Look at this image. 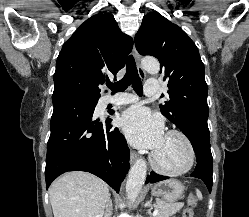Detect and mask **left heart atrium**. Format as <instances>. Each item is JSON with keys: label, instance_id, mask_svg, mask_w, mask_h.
<instances>
[{"label": "left heart atrium", "instance_id": "1", "mask_svg": "<svg viewBox=\"0 0 249 217\" xmlns=\"http://www.w3.org/2000/svg\"><path fill=\"white\" fill-rule=\"evenodd\" d=\"M120 125L129 142L136 147L156 150L165 137L162 120L143 107L126 110Z\"/></svg>", "mask_w": 249, "mask_h": 217}]
</instances>
